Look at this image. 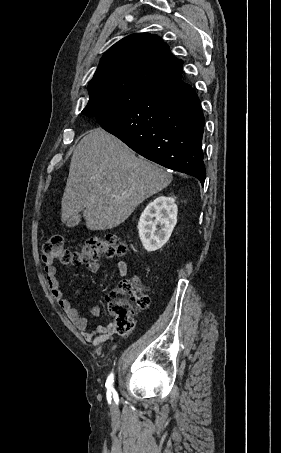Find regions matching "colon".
<instances>
[{"instance_id": "obj_1", "label": "colon", "mask_w": 281, "mask_h": 453, "mask_svg": "<svg viewBox=\"0 0 281 453\" xmlns=\"http://www.w3.org/2000/svg\"><path fill=\"white\" fill-rule=\"evenodd\" d=\"M131 253L132 250L127 244L107 238H86L79 248L69 250L64 236L54 233L44 245L42 260L44 262H97L102 257H128ZM119 290L125 303L115 306L113 312L118 329L129 331L133 328V315L146 310L150 297L141 292L136 279H121Z\"/></svg>"}]
</instances>
